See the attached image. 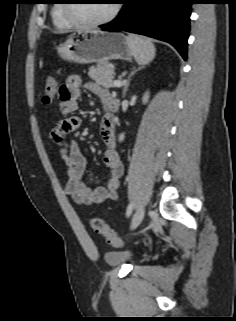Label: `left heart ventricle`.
I'll list each match as a JSON object with an SVG mask.
<instances>
[{"instance_id":"obj_1","label":"left heart ventricle","mask_w":236,"mask_h":321,"mask_svg":"<svg viewBox=\"0 0 236 321\" xmlns=\"http://www.w3.org/2000/svg\"><path fill=\"white\" fill-rule=\"evenodd\" d=\"M113 4L108 0H85L76 3L73 12L80 19L96 21L105 18L111 12Z\"/></svg>"}]
</instances>
